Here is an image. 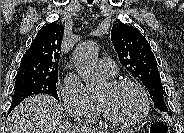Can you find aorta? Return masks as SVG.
Returning <instances> with one entry per match:
<instances>
[{"label":"aorta","instance_id":"762f6f07","mask_svg":"<svg viewBox=\"0 0 184 133\" xmlns=\"http://www.w3.org/2000/svg\"><path fill=\"white\" fill-rule=\"evenodd\" d=\"M98 54V45L94 41L82 42L73 53L76 70L90 91L100 89L105 82L98 70Z\"/></svg>","mask_w":184,"mask_h":133}]
</instances>
